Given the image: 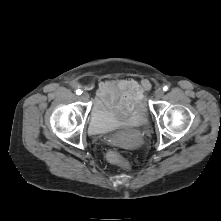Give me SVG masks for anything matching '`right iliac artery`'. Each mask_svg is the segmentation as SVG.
<instances>
[{"instance_id": "right-iliac-artery-1", "label": "right iliac artery", "mask_w": 221, "mask_h": 221, "mask_svg": "<svg viewBox=\"0 0 221 221\" xmlns=\"http://www.w3.org/2000/svg\"><path fill=\"white\" fill-rule=\"evenodd\" d=\"M82 93V91L80 89L76 90V94L80 95Z\"/></svg>"}]
</instances>
